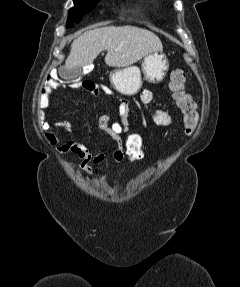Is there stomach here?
Segmentation results:
<instances>
[{"label": "stomach", "mask_w": 240, "mask_h": 287, "mask_svg": "<svg viewBox=\"0 0 240 287\" xmlns=\"http://www.w3.org/2000/svg\"><path fill=\"white\" fill-rule=\"evenodd\" d=\"M169 69L168 59L162 51H154L145 56L141 70L137 66L116 69L110 73L113 87L123 95H134L142 86L141 71L144 80L157 84L163 81Z\"/></svg>", "instance_id": "1"}]
</instances>
